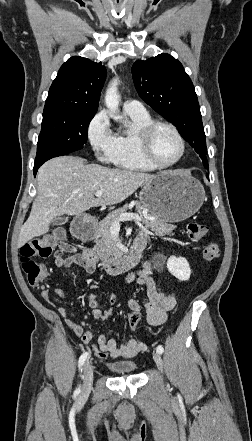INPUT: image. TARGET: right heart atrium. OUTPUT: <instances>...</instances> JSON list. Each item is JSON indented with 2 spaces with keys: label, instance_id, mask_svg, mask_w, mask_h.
<instances>
[{
  "label": "right heart atrium",
  "instance_id": "right-heart-atrium-1",
  "mask_svg": "<svg viewBox=\"0 0 252 441\" xmlns=\"http://www.w3.org/2000/svg\"><path fill=\"white\" fill-rule=\"evenodd\" d=\"M87 139L95 157L102 162H114L117 136L105 111L98 112L87 126Z\"/></svg>",
  "mask_w": 252,
  "mask_h": 441
}]
</instances>
